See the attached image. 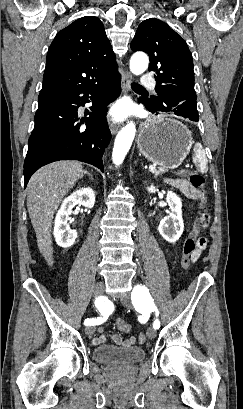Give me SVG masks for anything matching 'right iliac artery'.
<instances>
[{
  "label": "right iliac artery",
  "instance_id": "82829eb1",
  "mask_svg": "<svg viewBox=\"0 0 243 409\" xmlns=\"http://www.w3.org/2000/svg\"><path fill=\"white\" fill-rule=\"evenodd\" d=\"M100 303H101V301H100V299L98 298V299H96V301H95V306L96 307H100ZM102 315H103V311H102ZM104 322V319L102 318V317H98V318H95V319H93V318H87L85 321H84V324L85 325H99V324H101V323H103Z\"/></svg>",
  "mask_w": 243,
  "mask_h": 409
}]
</instances>
